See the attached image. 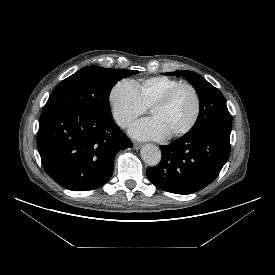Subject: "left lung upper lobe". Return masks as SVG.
I'll return each instance as SVG.
<instances>
[{
	"instance_id": "5c2ea615",
	"label": "left lung upper lobe",
	"mask_w": 275,
	"mask_h": 275,
	"mask_svg": "<svg viewBox=\"0 0 275 275\" xmlns=\"http://www.w3.org/2000/svg\"><path fill=\"white\" fill-rule=\"evenodd\" d=\"M165 74L167 76L181 75L185 77L198 94L200 112L196 123L187 133L205 130L231 131V115L227 109L224 96L217 88L193 71L179 70Z\"/></svg>"
}]
</instances>
